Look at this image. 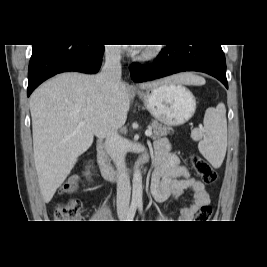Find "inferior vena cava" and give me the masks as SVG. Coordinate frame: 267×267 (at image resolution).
<instances>
[{"label": "inferior vena cava", "mask_w": 267, "mask_h": 267, "mask_svg": "<svg viewBox=\"0 0 267 267\" xmlns=\"http://www.w3.org/2000/svg\"><path fill=\"white\" fill-rule=\"evenodd\" d=\"M121 50L109 47L105 52V64L98 79L108 88H114L121 82ZM105 148L117 169V209L126 212L129 209L131 186L125 163L126 149L123 138L117 128H112L106 135Z\"/></svg>", "instance_id": "1"}]
</instances>
